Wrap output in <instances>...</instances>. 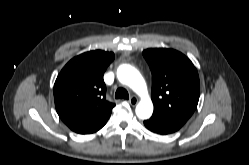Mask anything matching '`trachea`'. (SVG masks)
I'll return each mask as SVG.
<instances>
[{
    "mask_svg": "<svg viewBox=\"0 0 249 165\" xmlns=\"http://www.w3.org/2000/svg\"><path fill=\"white\" fill-rule=\"evenodd\" d=\"M116 99H129V94L126 89L118 88L115 92Z\"/></svg>",
    "mask_w": 249,
    "mask_h": 165,
    "instance_id": "1",
    "label": "trachea"
}]
</instances>
